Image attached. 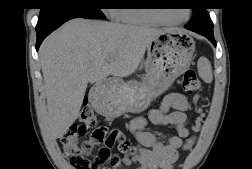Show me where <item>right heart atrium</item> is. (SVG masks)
<instances>
[{
    "instance_id": "right-heart-atrium-1",
    "label": "right heart atrium",
    "mask_w": 252,
    "mask_h": 169,
    "mask_svg": "<svg viewBox=\"0 0 252 169\" xmlns=\"http://www.w3.org/2000/svg\"><path fill=\"white\" fill-rule=\"evenodd\" d=\"M118 9H106L107 15L111 18V19H117V14L116 11Z\"/></svg>"
}]
</instances>
